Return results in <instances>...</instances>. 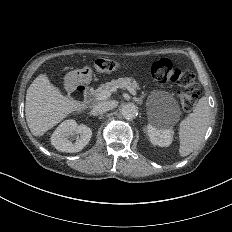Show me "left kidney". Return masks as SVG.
<instances>
[{
  "label": "left kidney",
  "mask_w": 232,
  "mask_h": 232,
  "mask_svg": "<svg viewBox=\"0 0 232 232\" xmlns=\"http://www.w3.org/2000/svg\"><path fill=\"white\" fill-rule=\"evenodd\" d=\"M146 133L154 145L168 147L171 144L173 131L167 128L160 119L152 120L146 127Z\"/></svg>",
  "instance_id": "5707ae66"
}]
</instances>
